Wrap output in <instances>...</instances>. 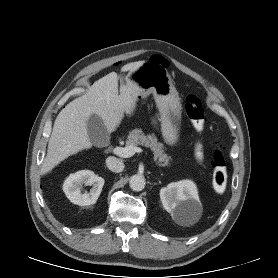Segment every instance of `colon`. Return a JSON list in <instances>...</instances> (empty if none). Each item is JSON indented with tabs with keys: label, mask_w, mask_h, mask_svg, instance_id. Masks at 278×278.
Listing matches in <instances>:
<instances>
[{
	"label": "colon",
	"mask_w": 278,
	"mask_h": 278,
	"mask_svg": "<svg viewBox=\"0 0 278 278\" xmlns=\"http://www.w3.org/2000/svg\"><path fill=\"white\" fill-rule=\"evenodd\" d=\"M185 111L196 131L201 132L205 126V111L201 100L195 95L186 99ZM195 154L203 157V145L197 142ZM212 187L216 193H222L227 184V167L225 157L219 148H215L212 157Z\"/></svg>",
	"instance_id": "colon-1"
}]
</instances>
